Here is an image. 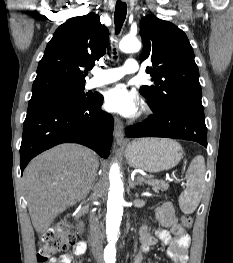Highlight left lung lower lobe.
I'll return each instance as SVG.
<instances>
[{"mask_svg":"<svg viewBox=\"0 0 233 263\" xmlns=\"http://www.w3.org/2000/svg\"><path fill=\"white\" fill-rule=\"evenodd\" d=\"M126 135L134 137H165L192 140L207 146V128L203 106L177 104L154 113L144 122L126 128Z\"/></svg>","mask_w":233,"mask_h":263,"instance_id":"left-lung-lower-lobe-1","label":"left lung lower lobe"}]
</instances>
